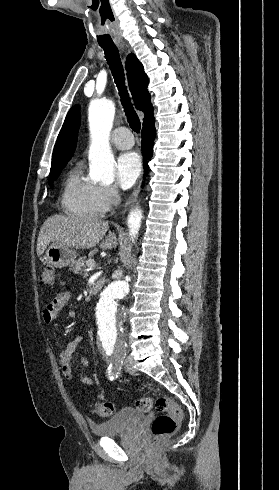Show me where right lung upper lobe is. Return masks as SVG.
<instances>
[{
  "label": "right lung upper lobe",
  "mask_w": 279,
  "mask_h": 490,
  "mask_svg": "<svg viewBox=\"0 0 279 490\" xmlns=\"http://www.w3.org/2000/svg\"><path fill=\"white\" fill-rule=\"evenodd\" d=\"M126 70L130 91L135 106L145 113L143 128L154 126L153 108L150 95L147 90L148 77L139 60L133 54H129L126 61ZM80 127L79 106H74L67 114L62 129L58 135L54 151L51 170L65 166L76 147L77 134Z\"/></svg>",
  "instance_id": "1"
}]
</instances>
